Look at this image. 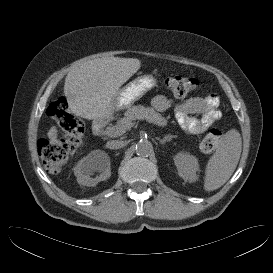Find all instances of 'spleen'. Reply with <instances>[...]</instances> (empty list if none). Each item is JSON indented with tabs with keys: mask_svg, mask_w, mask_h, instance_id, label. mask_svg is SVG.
Instances as JSON below:
<instances>
[{
	"mask_svg": "<svg viewBox=\"0 0 273 273\" xmlns=\"http://www.w3.org/2000/svg\"><path fill=\"white\" fill-rule=\"evenodd\" d=\"M242 149L240 133L231 129L207 162L205 169L204 190L213 191L224 185L239 162Z\"/></svg>",
	"mask_w": 273,
	"mask_h": 273,
	"instance_id": "spleen-1",
	"label": "spleen"
}]
</instances>
